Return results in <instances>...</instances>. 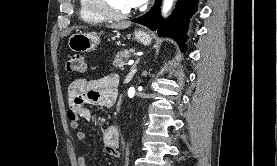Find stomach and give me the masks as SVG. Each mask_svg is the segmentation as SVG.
Instances as JSON below:
<instances>
[{"label": "stomach", "mask_w": 277, "mask_h": 166, "mask_svg": "<svg viewBox=\"0 0 277 166\" xmlns=\"http://www.w3.org/2000/svg\"><path fill=\"white\" fill-rule=\"evenodd\" d=\"M134 38L137 42L147 46L152 42L151 36L143 30H136L134 32ZM100 43L99 34L95 32H77L73 34L68 41L69 48L74 52H90L94 50Z\"/></svg>", "instance_id": "stomach-1"}]
</instances>
